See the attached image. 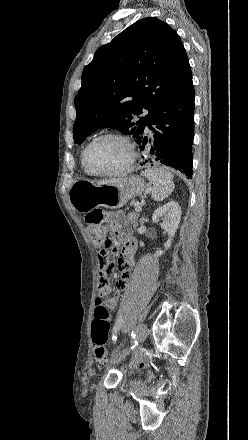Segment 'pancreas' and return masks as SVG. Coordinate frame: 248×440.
I'll return each mask as SVG.
<instances>
[{
  "mask_svg": "<svg viewBox=\"0 0 248 440\" xmlns=\"http://www.w3.org/2000/svg\"><path fill=\"white\" fill-rule=\"evenodd\" d=\"M138 213H129L127 216L128 221L133 225L134 228L138 226Z\"/></svg>",
  "mask_w": 248,
  "mask_h": 440,
  "instance_id": "cf45deb5",
  "label": "pancreas"
}]
</instances>
